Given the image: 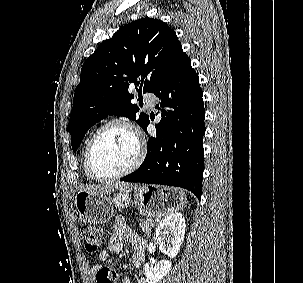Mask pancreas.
Wrapping results in <instances>:
<instances>
[{
    "mask_svg": "<svg viewBox=\"0 0 303 283\" xmlns=\"http://www.w3.org/2000/svg\"><path fill=\"white\" fill-rule=\"evenodd\" d=\"M139 225L142 231L149 235L151 228L154 226V220L152 218L141 219Z\"/></svg>",
    "mask_w": 303,
    "mask_h": 283,
    "instance_id": "pancreas-1",
    "label": "pancreas"
}]
</instances>
